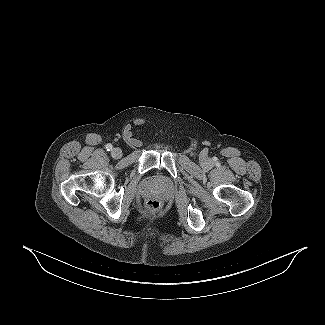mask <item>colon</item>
<instances>
[{
	"label": "colon",
	"instance_id": "5ec220e1",
	"mask_svg": "<svg viewBox=\"0 0 325 325\" xmlns=\"http://www.w3.org/2000/svg\"><path fill=\"white\" fill-rule=\"evenodd\" d=\"M146 208L152 212H156L161 208V203L156 198H150L146 201Z\"/></svg>",
	"mask_w": 325,
	"mask_h": 325
}]
</instances>
